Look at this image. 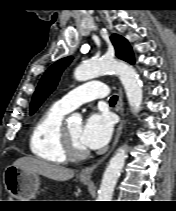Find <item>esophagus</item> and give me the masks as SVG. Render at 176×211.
Segmentation results:
<instances>
[{"instance_id":"34e87169","label":"esophagus","mask_w":176,"mask_h":211,"mask_svg":"<svg viewBox=\"0 0 176 211\" xmlns=\"http://www.w3.org/2000/svg\"><path fill=\"white\" fill-rule=\"evenodd\" d=\"M119 92H120V96H119V101H118V109H119V114H120V123H119V126L117 128L116 136H115V139H114V142L112 144V148H111L110 152L117 145V143L119 141V138L121 136V133H122L123 126H124L123 91H122L121 88H120ZM110 152L107 155H105L103 158L99 159L97 162H95V163L83 168L81 170L80 174H79L80 179H82V180H90L91 176H92V173L95 170V168L99 164H101L108 157Z\"/></svg>"}]
</instances>
